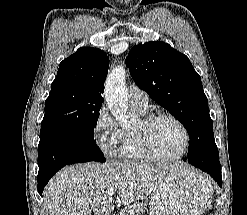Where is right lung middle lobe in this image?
Returning <instances> with one entry per match:
<instances>
[{
  "mask_svg": "<svg viewBox=\"0 0 247 215\" xmlns=\"http://www.w3.org/2000/svg\"><path fill=\"white\" fill-rule=\"evenodd\" d=\"M101 105L102 101L77 96L69 89L50 92L45 101L40 138L65 131L94 141V127Z\"/></svg>",
  "mask_w": 247,
  "mask_h": 215,
  "instance_id": "right-lung-middle-lobe-1",
  "label": "right lung middle lobe"
}]
</instances>
